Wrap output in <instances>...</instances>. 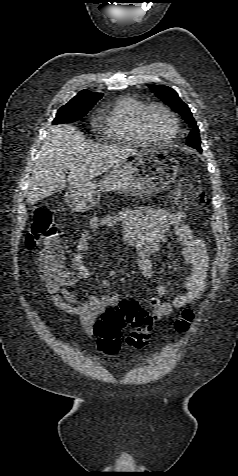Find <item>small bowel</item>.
Returning a JSON list of instances; mask_svg holds the SVG:
<instances>
[{"mask_svg":"<svg viewBox=\"0 0 238 476\" xmlns=\"http://www.w3.org/2000/svg\"><path fill=\"white\" fill-rule=\"evenodd\" d=\"M184 217L182 212L141 207L87 220L83 225V233L77 242L75 253L71 257L74 272H68L73 282L47 288L53 306L66 314L78 317L84 333L91 338L96 335L95 327L101 315L109 307L123 301L119 294L97 296L91 293H87L82 300H79L71 289L79 280L87 281L90 277L85 257L93 234L102 228L115 227H120L125 241L137 249L138 265L146 278H152L154 271L151 256L160 250L161 243L169 232L173 233L181 245V254L187 266L183 292L172 302H166L163 300L166 289L164 285H159L156 295L149 298V304L152 307L150 314L152 323L171 315L175 309L197 301L206 287L208 256L203 240L194 236L190 226L182 222ZM100 287L103 290H109L112 282L109 279H103Z\"/></svg>","mask_w":238,"mask_h":476,"instance_id":"obj_1","label":"small bowel"}]
</instances>
